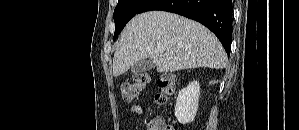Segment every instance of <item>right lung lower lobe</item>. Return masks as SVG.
Segmentation results:
<instances>
[{
	"label": "right lung lower lobe",
	"mask_w": 299,
	"mask_h": 130,
	"mask_svg": "<svg viewBox=\"0 0 299 130\" xmlns=\"http://www.w3.org/2000/svg\"><path fill=\"white\" fill-rule=\"evenodd\" d=\"M162 10L196 20L210 29L230 55L232 0H148L138 13Z\"/></svg>",
	"instance_id": "obj_1"
}]
</instances>
